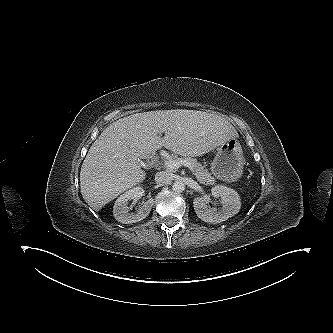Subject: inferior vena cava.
Returning <instances> with one entry per match:
<instances>
[{
	"mask_svg": "<svg viewBox=\"0 0 333 333\" xmlns=\"http://www.w3.org/2000/svg\"><path fill=\"white\" fill-rule=\"evenodd\" d=\"M171 179V173L166 171L157 172L155 175V182L158 184L168 183Z\"/></svg>",
	"mask_w": 333,
	"mask_h": 333,
	"instance_id": "602c4592",
	"label": "inferior vena cava"
}]
</instances>
